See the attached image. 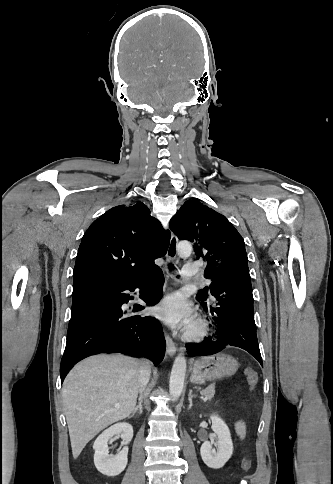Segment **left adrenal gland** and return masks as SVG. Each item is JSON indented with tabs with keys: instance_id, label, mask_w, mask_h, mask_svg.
<instances>
[{
	"instance_id": "1",
	"label": "left adrenal gland",
	"mask_w": 333,
	"mask_h": 484,
	"mask_svg": "<svg viewBox=\"0 0 333 484\" xmlns=\"http://www.w3.org/2000/svg\"><path fill=\"white\" fill-rule=\"evenodd\" d=\"M193 397H196V395L192 393V390H190L189 391V395H188V401H189V407H188V409H191V407H192V398Z\"/></svg>"
}]
</instances>
